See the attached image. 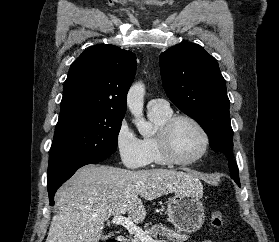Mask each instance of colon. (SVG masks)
Masks as SVG:
<instances>
[{"mask_svg": "<svg viewBox=\"0 0 279 242\" xmlns=\"http://www.w3.org/2000/svg\"><path fill=\"white\" fill-rule=\"evenodd\" d=\"M211 224L215 228H222L224 225V218L219 210H215L211 215Z\"/></svg>", "mask_w": 279, "mask_h": 242, "instance_id": "1", "label": "colon"}]
</instances>
